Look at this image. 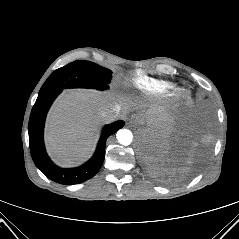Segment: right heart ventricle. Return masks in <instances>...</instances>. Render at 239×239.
Wrapping results in <instances>:
<instances>
[{
	"label": "right heart ventricle",
	"instance_id": "obj_1",
	"mask_svg": "<svg viewBox=\"0 0 239 239\" xmlns=\"http://www.w3.org/2000/svg\"><path fill=\"white\" fill-rule=\"evenodd\" d=\"M131 85L144 93H160L166 91L170 85L167 82L152 79L145 76H138L131 80Z\"/></svg>",
	"mask_w": 239,
	"mask_h": 239
}]
</instances>
